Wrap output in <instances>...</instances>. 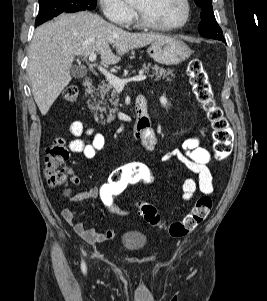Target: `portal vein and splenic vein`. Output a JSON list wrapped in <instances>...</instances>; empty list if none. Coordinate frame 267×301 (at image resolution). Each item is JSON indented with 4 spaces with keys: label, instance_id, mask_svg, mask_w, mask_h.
I'll list each match as a JSON object with an SVG mask.
<instances>
[{
    "label": "portal vein and splenic vein",
    "instance_id": "18ae733b",
    "mask_svg": "<svg viewBox=\"0 0 267 301\" xmlns=\"http://www.w3.org/2000/svg\"><path fill=\"white\" fill-rule=\"evenodd\" d=\"M97 58L96 53H91L89 55V61L91 63H95ZM99 71L103 75H105L106 79L109 81V83L115 88V89H123L124 85L130 81H144L147 76L143 75L142 73H139L138 75L131 77V78H126V79H120L119 77L115 76L114 74L108 72L105 68L98 66Z\"/></svg>",
    "mask_w": 267,
    "mask_h": 301
}]
</instances>
